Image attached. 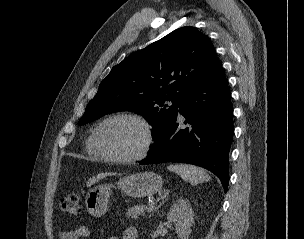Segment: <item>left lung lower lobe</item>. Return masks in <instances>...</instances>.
<instances>
[{"mask_svg":"<svg viewBox=\"0 0 304 239\" xmlns=\"http://www.w3.org/2000/svg\"><path fill=\"white\" fill-rule=\"evenodd\" d=\"M186 119V128L177 122ZM230 91L216 58L204 78L186 96L164 133L140 164L182 162L204 167L220 179L224 191L229 182V151L234 126Z\"/></svg>","mask_w":304,"mask_h":239,"instance_id":"left-lung-lower-lobe-1","label":"left lung lower lobe"}]
</instances>
